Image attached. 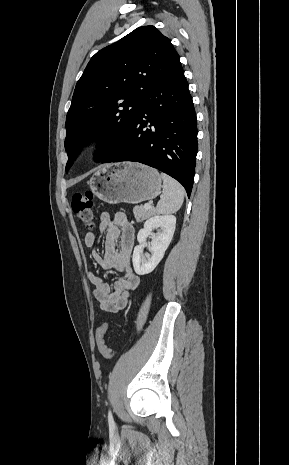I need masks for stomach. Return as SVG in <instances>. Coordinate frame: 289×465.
Instances as JSON below:
<instances>
[{"instance_id":"obj_1","label":"stomach","mask_w":289,"mask_h":465,"mask_svg":"<svg viewBox=\"0 0 289 465\" xmlns=\"http://www.w3.org/2000/svg\"><path fill=\"white\" fill-rule=\"evenodd\" d=\"M88 184L93 194L104 202L137 204L158 196L162 179L154 168L140 163L121 162L99 169Z\"/></svg>"}]
</instances>
